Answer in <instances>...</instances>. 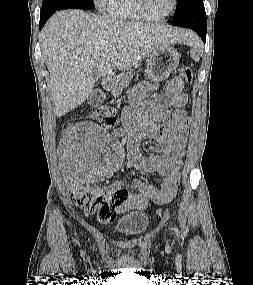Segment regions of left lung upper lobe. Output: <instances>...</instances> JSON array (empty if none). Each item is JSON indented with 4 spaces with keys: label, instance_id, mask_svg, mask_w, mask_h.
I'll list each match as a JSON object with an SVG mask.
<instances>
[{
    "label": "left lung upper lobe",
    "instance_id": "obj_1",
    "mask_svg": "<svg viewBox=\"0 0 253 285\" xmlns=\"http://www.w3.org/2000/svg\"><path fill=\"white\" fill-rule=\"evenodd\" d=\"M203 0H178L177 2V10L174 14V18L181 15L185 11H187L191 6L202 2Z\"/></svg>",
    "mask_w": 253,
    "mask_h": 285
}]
</instances>
